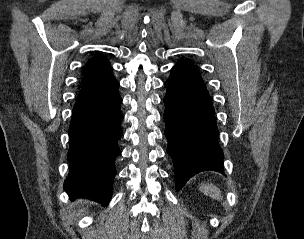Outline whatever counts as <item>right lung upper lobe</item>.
I'll list each match as a JSON object with an SVG mask.
<instances>
[{"mask_svg": "<svg viewBox=\"0 0 304 239\" xmlns=\"http://www.w3.org/2000/svg\"><path fill=\"white\" fill-rule=\"evenodd\" d=\"M111 70L112 68L106 57L102 55L95 56L88 61L85 67L82 87L92 84Z\"/></svg>", "mask_w": 304, "mask_h": 239, "instance_id": "obj_1", "label": "right lung upper lobe"}]
</instances>
